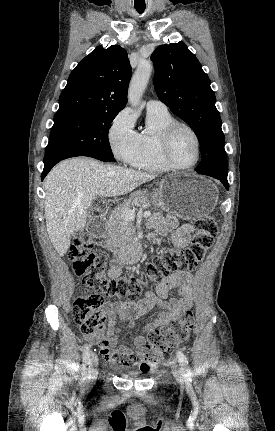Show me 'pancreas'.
I'll list each match as a JSON object with an SVG mask.
<instances>
[{
  "label": "pancreas",
  "mask_w": 275,
  "mask_h": 431,
  "mask_svg": "<svg viewBox=\"0 0 275 431\" xmlns=\"http://www.w3.org/2000/svg\"><path fill=\"white\" fill-rule=\"evenodd\" d=\"M156 201L146 190L133 193L129 199L117 208L110 216L106 224L105 247L116 252L129 242L134 233L133 223L121 217V211L125 208L131 209L137 204H154ZM162 205V203H158Z\"/></svg>",
  "instance_id": "pancreas-1"
}]
</instances>
